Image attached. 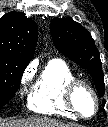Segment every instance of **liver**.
<instances>
[{
  "label": "liver",
  "instance_id": "obj_1",
  "mask_svg": "<svg viewBox=\"0 0 108 127\" xmlns=\"http://www.w3.org/2000/svg\"><path fill=\"white\" fill-rule=\"evenodd\" d=\"M0 127H70L58 120L46 117H30L27 119L11 120L5 122L0 120ZM79 127V126H74Z\"/></svg>",
  "mask_w": 108,
  "mask_h": 127
}]
</instances>
